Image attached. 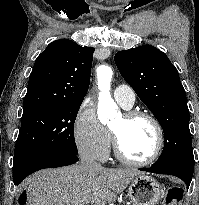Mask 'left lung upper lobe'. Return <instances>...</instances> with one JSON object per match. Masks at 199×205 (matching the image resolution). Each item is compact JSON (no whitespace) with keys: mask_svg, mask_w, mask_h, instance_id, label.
<instances>
[{"mask_svg":"<svg viewBox=\"0 0 199 205\" xmlns=\"http://www.w3.org/2000/svg\"><path fill=\"white\" fill-rule=\"evenodd\" d=\"M115 63L163 128L164 149L153 166L178 165L193 171L189 110L177 69L151 45L120 51L115 55Z\"/></svg>","mask_w":199,"mask_h":205,"instance_id":"1","label":"left lung upper lobe"}]
</instances>
